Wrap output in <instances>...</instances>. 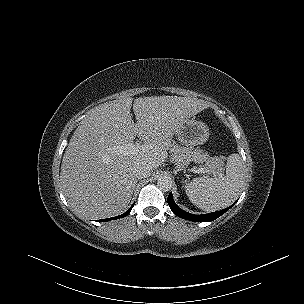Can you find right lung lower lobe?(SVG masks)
<instances>
[{
  "instance_id": "obj_1",
  "label": "right lung lower lobe",
  "mask_w": 304,
  "mask_h": 304,
  "mask_svg": "<svg viewBox=\"0 0 304 304\" xmlns=\"http://www.w3.org/2000/svg\"><path fill=\"white\" fill-rule=\"evenodd\" d=\"M133 206H134V204L125 213H123L122 215H119V216H116V217H112V218H108V219H102V220H98V221L99 222H105V221H109V220H114V219L125 217V216H127L131 212Z\"/></svg>"
}]
</instances>
